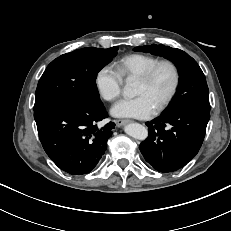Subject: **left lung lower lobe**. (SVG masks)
Here are the masks:
<instances>
[{
    "mask_svg": "<svg viewBox=\"0 0 231 231\" xmlns=\"http://www.w3.org/2000/svg\"><path fill=\"white\" fill-rule=\"evenodd\" d=\"M210 112L182 108L162 113L147 122L149 136L139 148L157 171L173 172L184 167L199 151Z\"/></svg>",
    "mask_w": 231,
    "mask_h": 231,
    "instance_id": "obj_1",
    "label": "left lung lower lobe"
}]
</instances>
